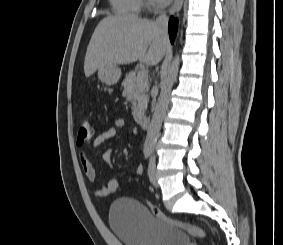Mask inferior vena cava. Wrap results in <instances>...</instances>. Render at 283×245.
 Segmentation results:
<instances>
[{"label":"inferior vena cava","mask_w":283,"mask_h":245,"mask_svg":"<svg viewBox=\"0 0 283 245\" xmlns=\"http://www.w3.org/2000/svg\"><path fill=\"white\" fill-rule=\"evenodd\" d=\"M157 25H159L164 31L167 32V25H168V17L165 14H161L156 19Z\"/></svg>","instance_id":"obj_1"}]
</instances>
